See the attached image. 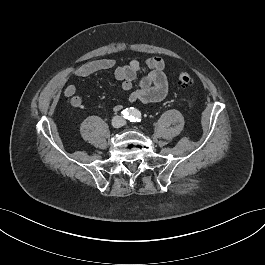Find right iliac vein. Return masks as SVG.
<instances>
[{
    "mask_svg": "<svg viewBox=\"0 0 265 265\" xmlns=\"http://www.w3.org/2000/svg\"><path fill=\"white\" fill-rule=\"evenodd\" d=\"M111 124L113 128H119L122 125V119L120 117H114Z\"/></svg>",
    "mask_w": 265,
    "mask_h": 265,
    "instance_id": "obj_1",
    "label": "right iliac vein"
}]
</instances>
